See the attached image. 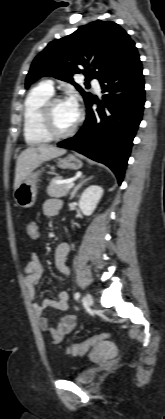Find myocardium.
Instances as JSON below:
<instances>
[{"instance_id":"myocardium-1","label":"myocardium","mask_w":165,"mask_h":419,"mask_svg":"<svg viewBox=\"0 0 165 419\" xmlns=\"http://www.w3.org/2000/svg\"><path fill=\"white\" fill-rule=\"evenodd\" d=\"M65 101L61 96H52L47 99L40 109L41 125L45 133L51 139H65L72 136L78 129L80 120L77 119L75 124L67 131L59 132L56 130L53 120V107L56 103Z\"/></svg>"}]
</instances>
